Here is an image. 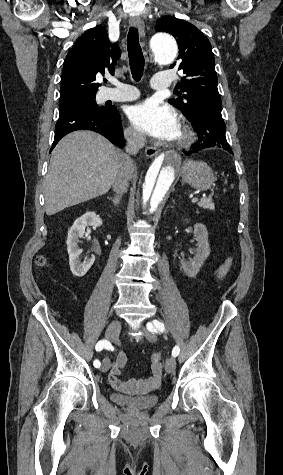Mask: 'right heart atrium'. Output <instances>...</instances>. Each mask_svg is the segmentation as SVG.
<instances>
[{"instance_id": "d8ad5b80", "label": "right heart atrium", "mask_w": 283, "mask_h": 475, "mask_svg": "<svg viewBox=\"0 0 283 475\" xmlns=\"http://www.w3.org/2000/svg\"><path fill=\"white\" fill-rule=\"evenodd\" d=\"M125 139L128 146L132 149H140L143 146V138L132 129L125 130Z\"/></svg>"}]
</instances>
